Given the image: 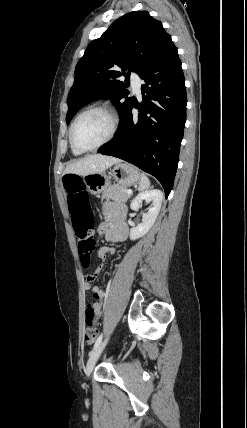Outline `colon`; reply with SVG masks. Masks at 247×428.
Here are the masks:
<instances>
[{
	"mask_svg": "<svg viewBox=\"0 0 247 428\" xmlns=\"http://www.w3.org/2000/svg\"><path fill=\"white\" fill-rule=\"evenodd\" d=\"M63 186L67 194V211L72 217L75 234L78 239V250L81 264L88 268L91 262V253L95 248V241L92 238L93 215L89 208L88 197L85 185L81 177L77 175H66L63 178ZM103 309L101 301L97 298H88L85 309L86 329L83 339L87 344H91L98 333L97 326L102 319Z\"/></svg>",
	"mask_w": 247,
	"mask_h": 428,
	"instance_id": "colon-1",
	"label": "colon"
}]
</instances>
